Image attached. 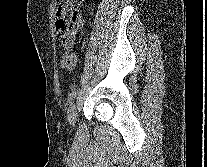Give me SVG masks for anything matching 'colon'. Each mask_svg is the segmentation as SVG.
I'll return each instance as SVG.
<instances>
[{
  "mask_svg": "<svg viewBox=\"0 0 207 167\" xmlns=\"http://www.w3.org/2000/svg\"><path fill=\"white\" fill-rule=\"evenodd\" d=\"M79 0H62L57 10L56 28L62 41L73 45L80 34Z\"/></svg>",
  "mask_w": 207,
  "mask_h": 167,
  "instance_id": "1",
  "label": "colon"
}]
</instances>
